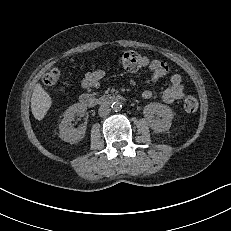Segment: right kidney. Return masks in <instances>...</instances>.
<instances>
[{
	"mask_svg": "<svg viewBox=\"0 0 231 231\" xmlns=\"http://www.w3.org/2000/svg\"><path fill=\"white\" fill-rule=\"evenodd\" d=\"M86 106L80 103L70 106L64 112V118L59 125L60 138L66 142L77 143L80 141L86 132V126H82L78 129L72 127V121L76 114L85 113Z\"/></svg>",
	"mask_w": 231,
	"mask_h": 231,
	"instance_id": "1",
	"label": "right kidney"
}]
</instances>
